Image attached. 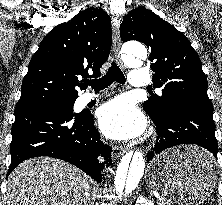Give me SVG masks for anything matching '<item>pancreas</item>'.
Returning <instances> with one entry per match:
<instances>
[{"label": "pancreas", "mask_w": 222, "mask_h": 205, "mask_svg": "<svg viewBox=\"0 0 222 205\" xmlns=\"http://www.w3.org/2000/svg\"><path fill=\"white\" fill-rule=\"evenodd\" d=\"M157 205H173V202L165 199V198H160L159 200L156 201Z\"/></svg>", "instance_id": "pancreas-1"}]
</instances>
